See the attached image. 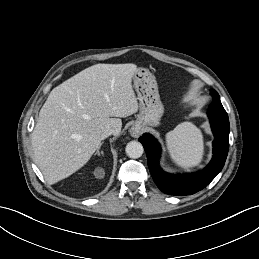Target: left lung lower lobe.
I'll return each mask as SVG.
<instances>
[{
    "label": "left lung lower lobe",
    "mask_w": 259,
    "mask_h": 259,
    "mask_svg": "<svg viewBox=\"0 0 259 259\" xmlns=\"http://www.w3.org/2000/svg\"><path fill=\"white\" fill-rule=\"evenodd\" d=\"M213 101L208 109L212 132L213 157L209 165L200 172L188 175H171L159 167L160 146L156 139L145 133L139 138L147 154L148 167L154 182L161 191L169 195H191L205 188L222 170L229 149L230 125L218 93L211 91Z\"/></svg>",
    "instance_id": "1"
}]
</instances>
